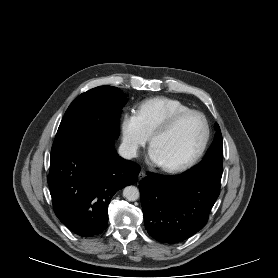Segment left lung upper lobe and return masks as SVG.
<instances>
[{"label":"left lung upper lobe","instance_id":"5c2ea615","mask_svg":"<svg viewBox=\"0 0 278 278\" xmlns=\"http://www.w3.org/2000/svg\"><path fill=\"white\" fill-rule=\"evenodd\" d=\"M216 134L214 141L208 149L203 160L190 169L186 174L204 175L221 179L222 177V156L223 143L222 135L218 124H215Z\"/></svg>","mask_w":278,"mask_h":278}]
</instances>
